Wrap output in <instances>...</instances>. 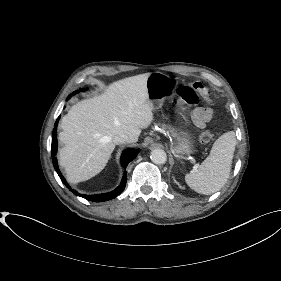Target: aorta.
Wrapping results in <instances>:
<instances>
[{
  "label": "aorta",
  "instance_id": "762f6f07",
  "mask_svg": "<svg viewBox=\"0 0 281 281\" xmlns=\"http://www.w3.org/2000/svg\"><path fill=\"white\" fill-rule=\"evenodd\" d=\"M150 158L155 164L161 165L166 163L167 154L162 149H154L151 151Z\"/></svg>",
  "mask_w": 281,
  "mask_h": 281
}]
</instances>
